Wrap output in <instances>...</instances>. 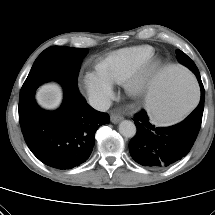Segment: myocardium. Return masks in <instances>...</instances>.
Here are the masks:
<instances>
[{"instance_id":"f54148a6","label":"myocardium","mask_w":215,"mask_h":215,"mask_svg":"<svg viewBox=\"0 0 215 215\" xmlns=\"http://www.w3.org/2000/svg\"><path fill=\"white\" fill-rule=\"evenodd\" d=\"M160 66L159 60L150 59L132 71L123 82L126 94L132 98L142 97L151 86Z\"/></svg>"}]
</instances>
